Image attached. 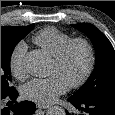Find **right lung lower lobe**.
<instances>
[{
    "label": "right lung lower lobe",
    "mask_w": 115,
    "mask_h": 115,
    "mask_svg": "<svg viewBox=\"0 0 115 115\" xmlns=\"http://www.w3.org/2000/svg\"><path fill=\"white\" fill-rule=\"evenodd\" d=\"M18 97L16 89L9 93L1 94V115H32L35 110V104L30 101L15 102ZM7 100H12L15 103L13 106L2 108V103ZM10 102V101H9Z\"/></svg>",
    "instance_id": "1"
}]
</instances>
